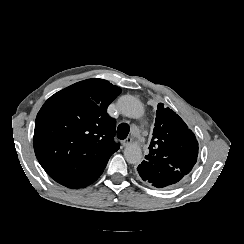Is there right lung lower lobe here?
<instances>
[{"mask_svg":"<svg viewBox=\"0 0 244 244\" xmlns=\"http://www.w3.org/2000/svg\"><path fill=\"white\" fill-rule=\"evenodd\" d=\"M107 162L101 166L95 173L94 175L86 180H81L80 178L74 177L71 179H67L62 181L60 184L69 187V188H81V187H86L88 185H90L91 183H93L95 180H97L99 178V176L102 174L105 166H106Z\"/></svg>","mask_w":244,"mask_h":244,"instance_id":"1","label":"right lung lower lobe"}]
</instances>
